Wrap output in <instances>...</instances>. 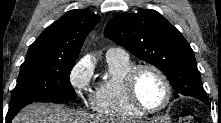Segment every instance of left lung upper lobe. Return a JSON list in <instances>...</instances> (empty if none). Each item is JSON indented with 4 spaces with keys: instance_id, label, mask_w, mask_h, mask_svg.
I'll return each instance as SVG.
<instances>
[{
    "instance_id": "1",
    "label": "left lung upper lobe",
    "mask_w": 221,
    "mask_h": 123,
    "mask_svg": "<svg viewBox=\"0 0 221 123\" xmlns=\"http://www.w3.org/2000/svg\"><path fill=\"white\" fill-rule=\"evenodd\" d=\"M105 36L158 67L178 94L207 103L194 52L182 34L155 10L121 13L106 25Z\"/></svg>"
}]
</instances>
